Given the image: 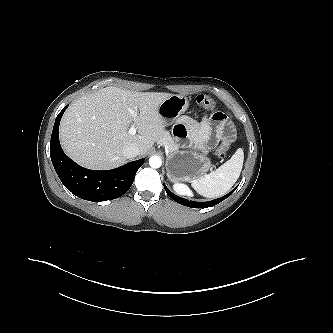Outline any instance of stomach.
<instances>
[{
	"label": "stomach",
	"mask_w": 333,
	"mask_h": 333,
	"mask_svg": "<svg viewBox=\"0 0 333 333\" xmlns=\"http://www.w3.org/2000/svg\"><path fill=\"white\" fill-rule=\"evenodd\" d=\"M189 106L184 95H171L159 106V113L165 123H174ZM211 169L210 159L191 151H175L167 160V171L171 180H195Z\"/></svg>",
	"instance_id": "obj_1"
}]
</instances>
